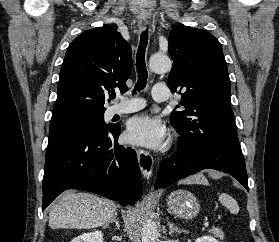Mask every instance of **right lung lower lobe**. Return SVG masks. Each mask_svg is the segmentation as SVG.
<instances>
[{
	"label": "right lung lower lobe",
	"mask_w": 279,
	"mask_h": 242,
	"mask_svg": "<svg viewBox=\"0 0 279 242\" xmlns=\"http://www.w3.org/2000/svg\"><path fill=\"white\" fill-rule=\"evenodd\" d=\"M120 126L48 144L43 177L44 210L61 192L79 189L127 204L142 196L134 149L118 144Z\"/></svg>",
	"instance_id": "98d812e1"
}]
</instances>
